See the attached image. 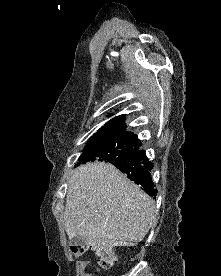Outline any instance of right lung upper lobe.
Here are the masks:
<instances>
[{"label": "right lung upper lobe", "mask_w": 221, "mask_h": 276, "mask_svg": "<svg viewBox=\"0 0 221 276\" xmlns=\"http://www.w3.org/2000/svg\"><path fill=\"white\" fill-rule=\"evenodd\" d=\"M126 116L120 115L112 120L108 121L104 126H102L98 133L94 134L93 136H100V135H107V134H126L135 136L132 132H128L126 130V123H125ZM92 136V137H93Z\"/></svg>", "instance_id": "obj_1"}]
</instances>
